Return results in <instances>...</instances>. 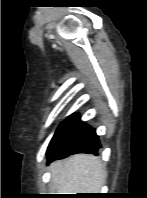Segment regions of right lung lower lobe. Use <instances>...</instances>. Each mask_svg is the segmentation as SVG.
<instances>
[{
    "label": "right lung lower lobe",
    "mask_w": 147,
    "mask_h": 198,
    "mask_svg": "<svg viewBox=\"0 0 147 198\" xmlns=\"http://www.w3.org/2000/svg\"><path fill=\"white\" fill-rule=\"evenodd\" d=\"M101 148L95 130L73 114L58 128L48 149V161L62 159L76 153L97 154Z\"/></svg>",
    "instance_id": "right-lung-lower-lobe-1"
}]
</instances>
